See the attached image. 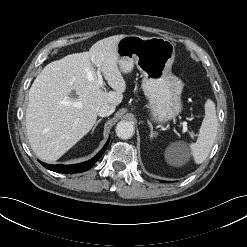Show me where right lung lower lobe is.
I'll return each mask as SVG.
<instances>
[{
	"label": "right lung lower lobe",
	"instance_id": "right-lung-lower-lobe-1",
	"mask_svg": "<svg viewBox=\"0 0 247 247\" xmlns=\"http://www.w3.org/2000/svg\"><path fill=\"white\" fill-rule=\"evenodd\" d=\"M109 140L107 141L105 146L102 148V150H100V152L94 158L90 159L89 161L79 163V164H73V165H49L43 162H41V164L47 169L55 171V172H59V173H79V172L87 171L102 156V154L106 150Z\"/></svg>",
	"mask_w": 247,
	"mask_h": 247
}]
</instances>
